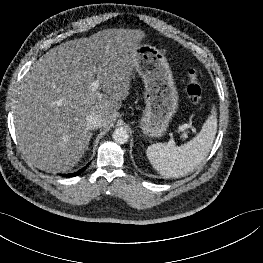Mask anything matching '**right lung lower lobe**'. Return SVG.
I'll return each mask as SVG.
<instances>
[{
  "instance_id": "obj_1",
  "label": "right lung lower lobe",
  "mask_w": 263,
  "mask_h": 263,
  "mask_svg": "<svg viewBox=\"0 0 263 263\" xmlns=\"http://www.w3.org/2000/svg\"><path fill=\"white\" fill-rule=\"evenodd\" d=\"M87 166H88V165H87ZM87 166H85L83 169H81V170H79V171H77V172H75V173L62 174V176H64V177H73V176L79 175L80 173H82V172L86 169Z\"/></svg>"
}]
</instances>
